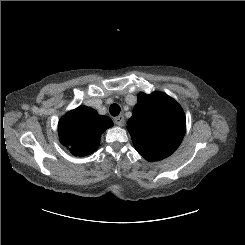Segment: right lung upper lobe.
I'll return each instance as SVG.
<instances>
[{"instance_id":"1","label":"right lung upper lobe","mask_w":245,"mask_h":245,"mask_svg":"<svg viewBox=\"0 0 245 245\" xmlns=\"http://www.w3.org/2000/svg\"><path fill=\"white\" fill-rule=\"evenodd\" d=\"M112 126L109 117L80 106L60 119L58 133L61 143L70 148L73 155L85 156L97 150L101 134Z\"/></svg>"}]
</instances>
